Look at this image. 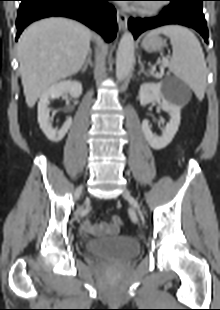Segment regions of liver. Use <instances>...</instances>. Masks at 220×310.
<instances>
[{"label": "liver", "mask_w": 220, "mask_h": 310, "mask_svg": "<svg viewBox=\"0 0 220 310\" xmlns=\"http://www.w3.org/2000/svg\"><path fill=\"white\" fill-rule=\"evenodd\" d=\"M91 37L86 26L60 17L43 19L25 29L18 40V60L28 107L51 85L82 68Z\"/></svg>", "instance_id": "6515ba94"}]
</instances>
